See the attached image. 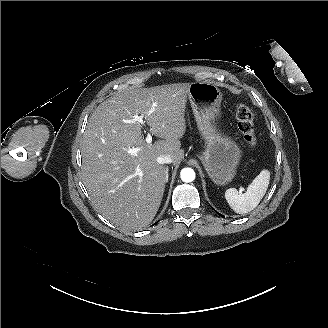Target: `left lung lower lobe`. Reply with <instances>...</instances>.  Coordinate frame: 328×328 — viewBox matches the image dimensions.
Returning a JSON list of instances; mask_svg holds the SVG:
<instances>
[{
	"instance_id": "obj_1",
	"label": "left lung lower lobe",
	"mask_w": 328,
	"mask_h": 328,
	"mask_svg": "<svg viewBox=\"0 0 328 328\" xmlns=\"http://www.w3.org/2000/svg\"><path fill=\"white\" fill-rule=\"evenodd\" d=\"M221 217H224L223 215L219 214Z\"/></svg>"
}]
</instances>
